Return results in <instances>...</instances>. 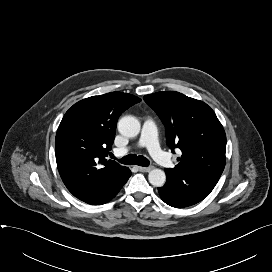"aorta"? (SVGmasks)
<instances>
[{
  "label": "aorta",
  "mask_w": 272,
  "mask_h": 272,
  "mask_svg": "<svg viewBox=\"0 0 272 272\" xmlns=\"http://www.w3.org/2000/svg\"><path fill=\"white\" fill-rule=\"evenodd\" d=\"M140 122L133 116H124L118 122V131L126 137H135L140 132ZM150 184L162 187L166 181L165 172L161 169H153L148 174Z\"/></svg>",
  "instance_id": "762f6f07"
}]
</instances>
